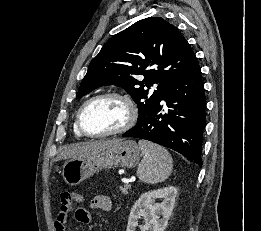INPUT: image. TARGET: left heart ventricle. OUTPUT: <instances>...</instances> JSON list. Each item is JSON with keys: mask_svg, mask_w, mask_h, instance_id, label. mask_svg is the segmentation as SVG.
I'll use <instances>...</instances> for the list:
<instances>
[{"mask_svg": "<svg viewBox=\"0 0 261 231\" xmlns=\"http://www.w3.org/2000/svg\"><path fill=\"white\" fill-rule=\"evenodd\" d=\"M128 119L125 103L117 98H105L92 103L84 112L82 123L90 133H105L122 127Z\"/></svg>", "mask_w": 261, "mask_h": 231, "instance_id": "1", "label": "left heart ventricle"}]
</instances>
